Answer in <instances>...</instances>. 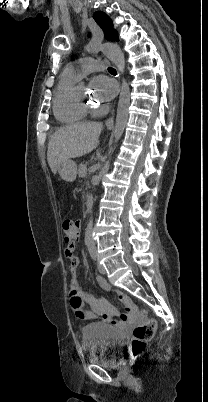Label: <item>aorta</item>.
Returning a JSON list of instances; mask_svg holds the SVG:
<instances>
[{"label":"aorta","instance_id":"aorta-1","mask_svg":"<svg viewBox=\"0 0 208 402\" xmlns=\"http://www.w3.org/2000/svg\"><path fill=\"white\" fill-rule=\"evenodd\" d=\"M104 56L108 58V60H111L113 64H115L118 72L120 74H124L125 72V58L124 54L117 46V44H106L104 50H103ZM130 106V90L129 86L123 78L122 84H121V90H120V96H119V102H118V108H117V116H116V124L114 128V146H116L118 140H120L124 128L127 124V118H128V110ZM113 152V148H110V154ZM105 168H109V162H106ZM106 170L102 169L101 174H105ZM96 178L99 179L95 182L94 186V192L96 194H99L101 192V185L102 182L100 181L101 175L97 174ZM95 218L93 216H90L86 222V232H85V238H84V243L86 248L88 249L89 255L91 258H98L100 255L99 249L96 246L94 239V234L93 231L95 230Z\"/></svg>","mask_w":208,"mask_h":402}]
</instances>
